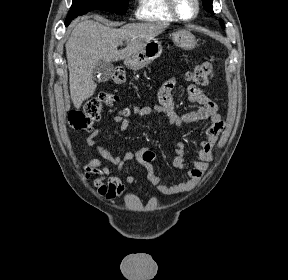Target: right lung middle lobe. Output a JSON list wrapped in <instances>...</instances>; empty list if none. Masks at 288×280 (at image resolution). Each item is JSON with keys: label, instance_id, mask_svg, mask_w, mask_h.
I'll use <instances>...</instances> for the list:
<instances>
[{"label": "right lung middle lobe", "instance_id": "right-lung-middle-lobe-1", "mask_svg": "<svg viewBox=\"0 0 288 280\" xmlns=\"http://www.w3.org/2000/svg\"><path fill=\"white\" fill-rule=\"evenodd\" d=\"M128 0H73L67 20H73L79 15L98 9L118 15H124L127 11Z\"/></svg>", "mask_w": 288, "mask_h": 280}]
</instances>
